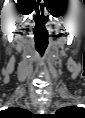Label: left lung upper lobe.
<instances>
[{
	"mask_svg": "<svg viewBox=\"0 0 85 118\" xmlns=\"http://www.w3.org/2000/svg\"><path fill=\"white\" fill-rule=\"evenodd\" d=\"M69 109H71V107H65V108L60 109L59 112H64V111H67Z\"/></svg>",
	"mask_w": 85,
	"mask_h": 118,
	"instance_id": "5c2ea615",
	"label": "left lung upper lobe"
}]
</instances>
